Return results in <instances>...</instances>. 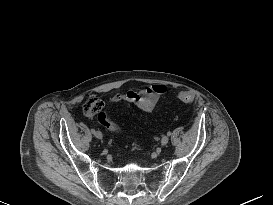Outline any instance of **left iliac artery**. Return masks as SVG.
Instances as JSON below:
<instances>
[{"instance_id": "left-iliac-artery-1", "label": "left iliac artery", "mask_w": 273, "mask_h": 205, "mask_svg": "<svg viewBox=\"0 0 273 205\" xmlns=\"http://www.w3.org/2000/svg\"><path fill=\"white\" fill-rule=\"evenodd\" d=\"M171 134H172L171 131L167 132V135H168V136H170Z\"/></svg>"}]
</instances>
